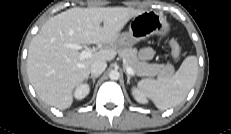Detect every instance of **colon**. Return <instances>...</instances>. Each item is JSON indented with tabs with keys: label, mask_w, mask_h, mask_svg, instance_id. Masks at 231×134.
I'll return each instance as SVG.
<instances>
[{
	"label": "colon",
	"mask_w": 231,
	"mask_h": 134,
	"mask_svg": "<svg viewBox=\"0 0 231 134\" xmlns=\"http://www.w3.org/2000/svg\"><path fill=\"white\" fill-rule=\"evenodd\" d=\"M169 46H170V49H171V54H172V57L176 60L179 58L180 56V47L178 45V43L174 40H170L169 41Z\"/></svg>",
	"instance_id": "1"
}]
</instances>
